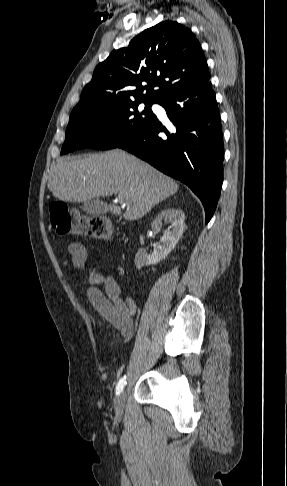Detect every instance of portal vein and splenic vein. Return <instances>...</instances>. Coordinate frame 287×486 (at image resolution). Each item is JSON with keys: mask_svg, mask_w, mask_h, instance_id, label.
<instances>
[{"mask_svg": "<svg viewBox=\"0 0 287 486\" xmlns=\"http://www.w3.org/2000/svg\"><path fill=\"white\" fill-rule=\"evenodd\" d=\"M117 201H120V203H122V204H126V202L123 199H120V200L117 199Z\"/></svg>", "mask_w": 287, "mask_h": 486, "instance_id": "1", "label": "portal vein and splenic vein"}]
</instances>
